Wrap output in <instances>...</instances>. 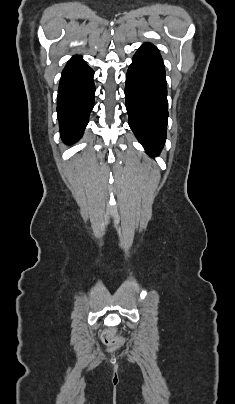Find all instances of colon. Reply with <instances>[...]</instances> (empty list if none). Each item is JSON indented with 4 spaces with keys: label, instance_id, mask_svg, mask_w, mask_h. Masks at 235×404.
I'll list each match as a JSON object with an SVG mask.
<instances>
[{
    "label": "colon",
    "instance_id": "5ec220e1",
    "mask_svg": "<svg viewBox=\"0 0 235 404\" xmlns=\"http://www.w3.org/2000/svg\"><path fill=\"white\" fill-rule=\"evenodd\" d=\"M102 340L105 344L112 347H118L121 345L122 342L121 339L114 336L113 331L111 330L103 333Z\"/></svg>",
    "mask_w": 235,
    "mask_h": 404
}]
</instances>
